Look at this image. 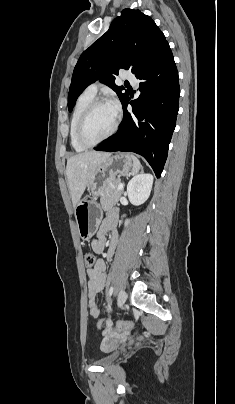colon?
<instances>
[{
	"label": "colon",
	"instance_id": "5ec220e1",
	"mask_svg": "<svg viewBox=\"0 0 235 404\" xmlns=\"http://www.w3.org/2000/svg\"><path fill=\"white\" fill-rule=\"evenodd\" d=\"M85 265L87 267H93L96 263V258L93 254L87 253L84 257ZM109 325V322H107L104 319H98L97 321V326L98 328H105ZM119 328H125V329H132L134 328V325L132 323H120L118 325Z\"/></svg>",
	"mask_w": 235,
	"mask_h": 404
}]
</instances>
